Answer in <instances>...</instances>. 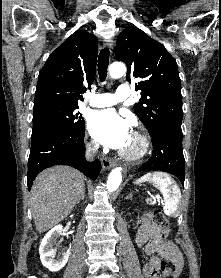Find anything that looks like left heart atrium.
Returning <instances> with one entry per match:
<instances>
[{
	"mask_svg": "<svg viewBox=\"0 0 221 278\" xmlns=\"http://www.w3.org/2000/svg\"><path fill=\"white\" fill-rule=\"evenodd\" d=\"M88 129L97 142L114 149L125 148L131 138L129 123L113 109L93 112Z\"/></svg>",
	"mask_w": 221,
	"mask_h": 278,
	"instance_id": "39dd6f15",
	"label": "left heart atrium"
}]
</instances>
